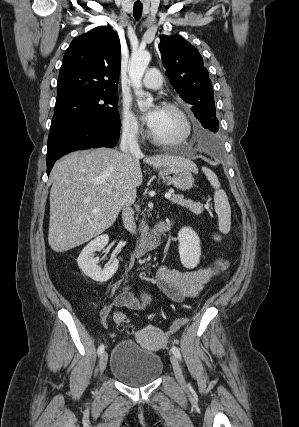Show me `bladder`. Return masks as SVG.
<instances>
[{
  "mask_svg": "<svg viewBox=\"0 0 299 427\" xmlns=\"http://www.w3.org/2000/svg\"><path fill=\"white\" fill-rule=\"evenodd\" d=\"M163 371L160 356L141 347L134 340H121L113 349L110 372L118 380L131 387L154 382Z\"/></svg>",
  "mask_w": 299,
  "mask_h": 427,
  "instance_id": "bladder-1",
  "label": "bladder"
}]
</instances>
